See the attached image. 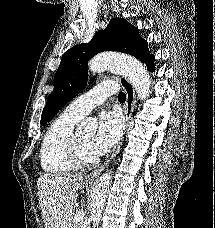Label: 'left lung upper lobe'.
<instances>
[{"label": "left lung upper lobe", "instance_id": "1", "mask_svg": "<svg viewBox=\"0 0 215 228\" xmlns=\"http://www.w3.org/2000/svg\"><path fill=\"white\" fill-rule=\"evenodd\" d=\"M102 51L130 54L145 63L150 54L138 29L122 18L111 19L105 30L98 31L89 43L67 50L54 77V90L47 99L41 124L45 126L70 100L84 90L88 61Z\"/></svg>", "mask_w": 215, "mask_h": 228}]
</instances>
